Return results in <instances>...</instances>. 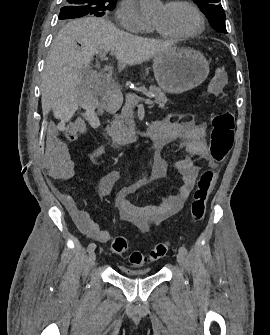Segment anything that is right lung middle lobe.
I'll use <instances>...</instances> for the list:
<instances>
[{
	"label": "right lung middle lobe",
	"mask_w": 270,
	"mask_h": 335,
	"mask_svg": "<svg viewBox=\"0 0 270 335\" xmlns=\"http://www.w3.org/2000/svg\"><path fill=\"white\" fill-rule=\"evenodd\" d=\"M60 20L79 18L85 15L103 16L116 6V0H64Z\"/></svg>",
	"instance_id": "right-lung-middle-lobe-1"
}]
</instances>
